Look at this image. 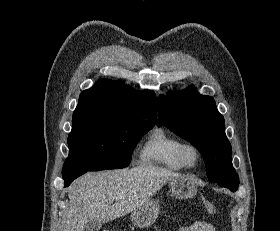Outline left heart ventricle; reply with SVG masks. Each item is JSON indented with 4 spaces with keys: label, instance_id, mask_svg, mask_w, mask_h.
<instances>
[{
    "label": "left heart ventricle",
    "instance_id": "obj_1",
    "mask_svg": "<svg viewBox=\"0 0 280 231\" xmlns=\"http://www.w3.org/2000/svg\"><path fill=\"white\" fill-rule=\"evenodd\" d=\"M183 158L186 165L190 168H194L199 161L198 154L192 147H188L184 150Z\"/></svg>",
    "mask_w": 280,
    "mask_h": 231
}]
</instances>
